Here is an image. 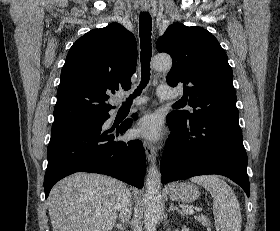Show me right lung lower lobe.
I'll use <instances>...</instances> for the list:
<instances>
[{
    "label": "right lung lower lobe",
    "instance_id": "obj_1",
    "mask_svg": "<svg viewBox=\"0 0 280 231\" xmlns=\"http://www.w3.org/2000/svg\"><path fill=\"white\" fill-rule=\"evenodd\" d=\"M108 118L106 115L53 124L44 178L46 198L56 182L79 171L105 174L143 187L146 158L141 141L117 139L132 122L114 132H103L102 126Z\"/></svg>",
    "mask_w": 280,
    "mask_h": 231
}]
</instances>
